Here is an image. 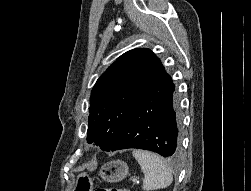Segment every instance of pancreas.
<instances>
[{"label": "pancreas", "instance_id": "pancreas-1", "mask_svg": "<svg viewBox=\"0 0 251 191\" xmlns=\"http://www.w3.org/2000/svg\"><path fill=\"white\" fill-rule=\"evenodd\" d=\"M126 191H130V189H126Z\"/></svg>", "mask_w": 251, "mask_h": 191}]
</instances>
